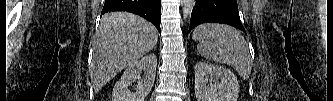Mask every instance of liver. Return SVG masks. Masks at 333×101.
<instances>
[{"instance_id":"6515ba94","label":"liver","mask_w":333,"mask_h":101,"mask_svg":"<svg viewBox=\"0 0 333 101\" xmlns=\"http://www.w3.org/2000/svg\"><path fill=\"white\" fill-rule=\"evenodd\" d=\"M157 41L156 28L139 16L126 12L103 16L90 65L95 93L121 70L153 49Z\"/></svg>"}]
</instances>
